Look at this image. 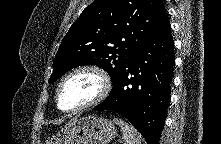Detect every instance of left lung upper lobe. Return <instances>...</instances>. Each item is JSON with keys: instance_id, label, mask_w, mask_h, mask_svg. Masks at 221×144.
I'll list each match as a JSON object with an SVG mask.
<instances>
[{"instance_id": "1", "label": "left lung upper lobe", "mask_w": 221, "mask_h": 144, "mask_svg": "<svg viewBox=\"0 0 221 144\" xmlns=\"http://www.w3.org/2000/svg\"><path fill=\"white\" fill-rule=\"evenodd\" d=\"M166 16L162 0H97L63 38L53 62L52 84L68 70L97 65L115 82Z\"/></svg>"}]
</instances>
